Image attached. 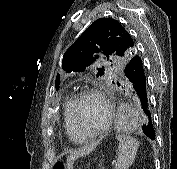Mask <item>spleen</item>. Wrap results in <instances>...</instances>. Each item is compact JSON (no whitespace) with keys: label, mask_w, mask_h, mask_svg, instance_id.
Instances as JSON below:
<instances>
[{"label":"spleen","mask_w":177,"mask_h":169,"mask_svg":"<svg viewBox=\"0 0 177 169\" xmlns=\"http://www.w3.org/2000/svg\"><path fill=\"white\" fill-rule=\"evenodd\" d=\"M118 158L115 164V169H128L134 162L137 150L139 147V142L126 135H118Z\"/></svg>","instance_id":"3e777b00"}]
</instances>
